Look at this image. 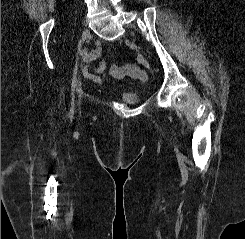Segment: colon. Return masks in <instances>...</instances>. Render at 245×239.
Instances as JSON below:
<instances>
[{
  "label": "colon",
  "mask_w": 245,
  "mask_h": 239,
  "mask_svg": "<svg viewBox=\"0 0 245 239\" xmlns=\"http://www.w3.org/2000/svg\"><path fill=\"white\" fill-rule=\"evenodd\" d=\"M110 73L114 77H123L128 75L131 78L140 80L141 82H146L148 79L147 74L135 65H112L110 67Z\"/></svg>",
  "instance_id": "obj_1"
}]
</instances>
